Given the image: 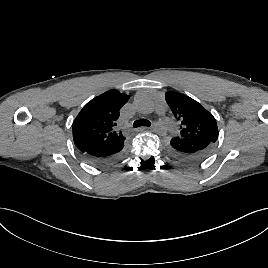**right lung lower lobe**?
Wrapping results in <instances>:
<instances>
[{
    "label": "right lung lower lobe",
    "mask_w": 268,
    "mask_h": 268,
    "mask_svg": "<svg viewBox=\"0 0 268 268\" xmlns=\"http://www.w3.org/2000/svg\"><path fill=\"white\" fill-rule=\"evenodd\" d=\"M124 143L109 148H97L88 151H80L81 154L94 164H109L119 158L122 153Z\"/></svg>",
    "instance_id": "right-lung-lower-lobe-1"
}]
</instances>
